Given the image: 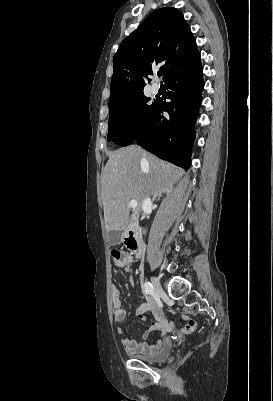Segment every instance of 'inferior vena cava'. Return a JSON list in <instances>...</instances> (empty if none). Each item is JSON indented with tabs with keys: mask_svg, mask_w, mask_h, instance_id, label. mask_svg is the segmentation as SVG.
<instances>
[{
	"mask_svg": "<svg viewBox=\"0 0 273 401\" xmlns=\"http://www.w3.org/2000/svg\"><path fill=\"white\" fill-rule=\"evenodd\" d=\"M147 205H151V198H149V196H147V198H145V201H143L142 207H147Z\"/></svg>",
	"mask_w": 273,
	"mask_h": 401,
	"instance_id": "1",
	"label": "inferior vena cava"
}]
</instances>
